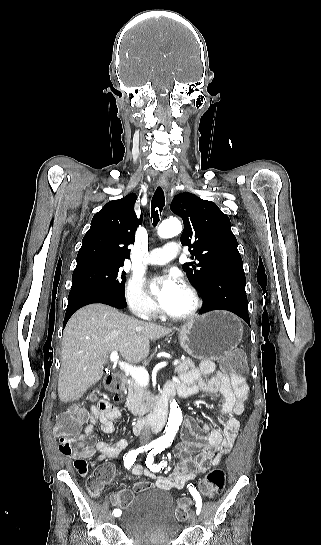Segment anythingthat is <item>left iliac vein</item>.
<instances>
[{
	"instance_id": "1",
	"label": "left iliac vein",
	"mask_w": 321,
	"mask_h": 545,
	"mask_svg": "<svg viewBox=\"0 0 321 545\" xmlns=\"http://www.w3.org/2000/svg\"><path fill=\"white\" fill-rule=\"evenodd\" d=\"M196 521H197V516H196L195 511H193V512L191 513V515H190L189 523H190V525L193 526V525H195Z\"/></svg>"
}]
</instances>
